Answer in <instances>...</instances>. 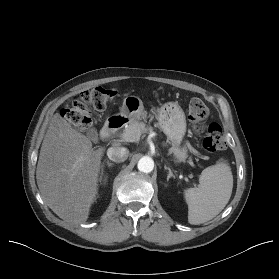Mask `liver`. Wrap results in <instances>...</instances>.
Listing matches in <instances>:
<instances>
[{
	"label": "liver",
	"mask_w": 279,
	"mask_h": 279,
	"mask_svg": "<svg viewBox=\"0 0 279 279\" xmlns=\"http://www.w3.org/2000/svg\"><path fill=\"white\" fill-rule=\"evenodd\" d=\"M103 154L59 114L53 116L40 149L36 179L44 202L69 225L88 219Z\"/></svg>",
	"instance_id": "6515ba94"
}]
</instances>
